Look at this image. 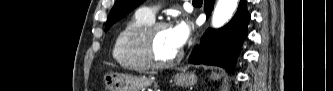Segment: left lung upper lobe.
<instances>
[{
  "label": "left lung upper lobe",
  "mask_w": 333,
  "mask_h": 91,
  "mask_svg": "<svg viewBox=\"0 0 333 91\" xmlns=\"http://www.w3.org/2000/svg\"><path fill=\"white\" fill-rule=\"evenodd\" d=\"M142 2H144V0H116L106 22L105 31H107L114 23L122 19Z\"/></svg>",
  "instance_id": "5c2ea615"
}]
</instances>
